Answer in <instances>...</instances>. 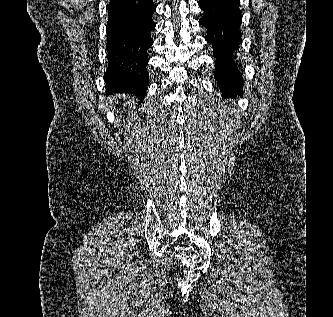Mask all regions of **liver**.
<instances>
[{"label":"liver","mask_w":333,"mask_h":317,"mask_svg":"<svg viewBox=\"0 0 333 317\" xmlns=\"http://www.w3.org/2000/svg\"><path fill=\"white\" fill-rule=\"evenodd\" d=\"M117 97H111L109 98L108 102L105 105V109L109 110L112 108L114 101H116Z\"/></svg>","instance_id":"6515ba94"}]
</instances>
